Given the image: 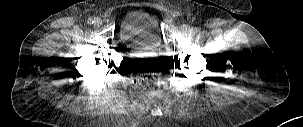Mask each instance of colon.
Wrapping results in <instances>:
<instances>
[{"label":"colon","mask_w":303,"mask_h":127,"mask_svg":"<svg viewBox=\"0 0 303 127\" xmlns=\"http://www.w3.org/2000/svg\"><path fill=\"white\" fill-rule=\"evenodd\" d=\"M135 72L138 76L139 86L152 93L158 92L159 84L157 82V75L161 72V67L155 61H141L137 64Z\"/></svg>","instance_id":"colon-1"}]
</instances>
